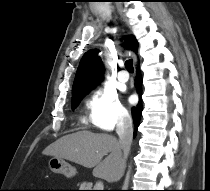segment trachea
<instances>
[{"label":"trachea","instance_id":"3493384b","mask_svg":"<svg viewBox=\"0 0 210 191\" xmlns=\"http://www.w3.org/2000/svg\"><path fill=\"white\" fill-rule=\"evenodd\" d=\"M125 67L128 71L133 72L134 71V67H133V60L129 59L125 62Z\"/></svg>","mask_w":210,"mask_h":191}]
</instances>
